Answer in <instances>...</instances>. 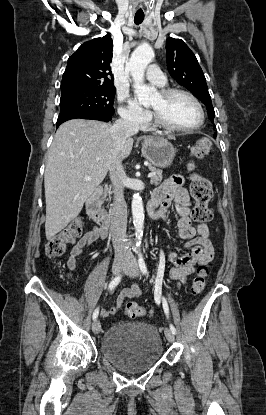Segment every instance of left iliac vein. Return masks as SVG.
<instances>
[{
	"mask_svg": "<svg viewBox=\"0 0 266 415\" xmlns=\"http://www.w3.org/2000/svg\"><path fill=\"white\" fill-rule=\"evenodd\" d=\"M125 273L129 276V277H136L139 275V269H138V264L137 261L134 257H131L126 266H125ZM165 336L167 338V340L169 342H174L175 340V336L172 333V331L168 328L165 329Z\"/></svg>",
	"mask_w": 266,
	"mask_h": 415,
	"instance_id": "left-iliac-vein-1",
	"label": "left iliac vein"
}]
</instances>
